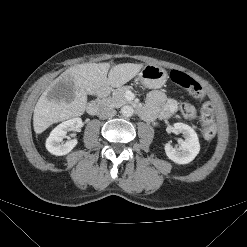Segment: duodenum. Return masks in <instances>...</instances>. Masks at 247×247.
Wrapping results in <instances>:
<instances>
[{
  "mask_svg": "<svg viewBox=\"0 0 247 247\" xmlns=\"http://www.w3.org/2000/svg\"><path fill=\"white\" fill-rule=\"evenodd\" d=\"M110 90H111L110 83H105L100 87L98 94H97V99L92 100L86 106V112L89 115L91 116L96 115L100 111L102 107V101L107 97Z\"/></svg>",
  "mask_w": 247,
  "mask_h": 247,
  "instance_id": "duodenum-1",
  "label": "duodenum"
}]
</instances>
